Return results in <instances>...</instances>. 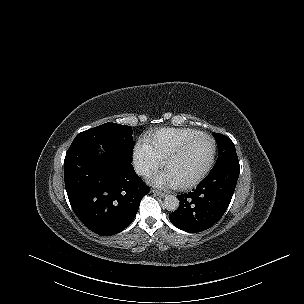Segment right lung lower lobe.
I'll return each mask as SVG.
<instances>
[{"instance_id": "right-lung-lower-lobe-1", "label": "right lung lower lobe", "mask_w": 304, "mask_h": 304, "mask_svg": "<svg viewBox=\"0 0 304 304\" xmlns=\"http://www.w3.org/2000/svg\"><path fill=\"white\" fill-rule=\"evenodd\" d=\"M91 141L72 142L64 160L65 187L71 207L80 221L100 236L124 230L135 218L149 187L136 175L131 163Z\"/></svg>"}]
</instances>
